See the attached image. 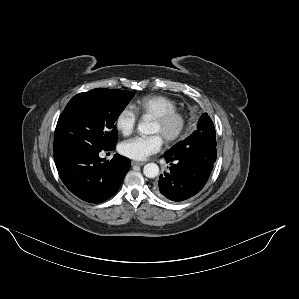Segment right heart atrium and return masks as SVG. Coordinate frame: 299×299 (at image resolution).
<instances>
[{"instance_id": "obj_1", "label": "right heart atrium", "mask_w": 299, "mask_h": 299, "mask_svg": "<svg viewBox=\"0 0 299 299\" xmlns=\"http://www.w3.org/2000/svg\"><path fill=\"white\" fill-rule=\"evenodd\" d=\"M137 124V114L129 107H123L115 117L114 126L116 131L124 136L130 135Z\"/></svg>"}]
</instances>
